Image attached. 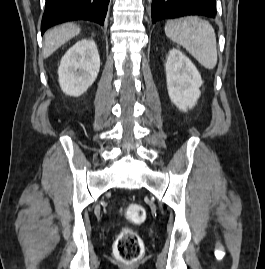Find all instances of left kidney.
Listing matches in <instances>:
<instances>
[{
	"instance_id": "left-kidney-1",
	"label": "left kidney",
	"mask_w": 265,
	"mask_h": 269,
	"mask_svg": "<svg viewBox=\"0 0 265 269\" xmlns=\"http://www.w3.org/2000/svg\"><path fill=\"white\" fill-rule=\"evenodd\" d=\"M168 95L172 103L183 112L192 109L199 99L201 76L188 57L179 50L169 52L165 65Z\"/></svg>"
}]
</instances>
